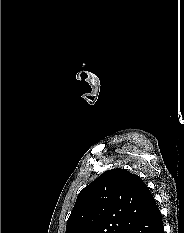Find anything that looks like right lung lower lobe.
Listing matches in <instances>:
<instances>
[{"instance_id": "right-lung-lower-lobe-1", "label": "right lung lower lobe", "mask_w": 184, "mask_h": 233, "mask_svg": "<svg viewBox=\"0 0 184 233\" xmlns=\"http://www.w3.org/2000/svg\"><path fill=\"white\" fill-rule=\"evenodd\" d=\"M127 233H164L162 216L158 206L135 224Z\"/></svg>"}]
</instances>
